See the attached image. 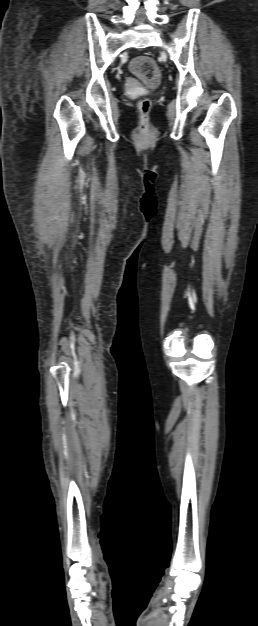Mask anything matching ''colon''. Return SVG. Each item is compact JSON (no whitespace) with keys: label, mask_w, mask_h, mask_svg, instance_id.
<instances>
[{"label":"colon","mask_w":258,"mask_h":626,"mask_svg":"<svg viewBox=\"0 0 258 626\" xmlns=\"http://www.w3.org/2000/svg\"><path fill=\"white\" fill-rule=\"evenodd\" d=\"M130 69L134 76L150 88L156 87L160 82L161 71L157 63L149 56L136 57L132 61ZM138 108L142 118L141 128L146 130L148 128V115L151 109V101L147 98L141 99L138 102Z\"/></svg>","instance_id":"5ec220e1"}]
</instances>
